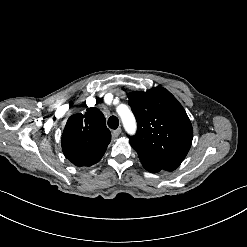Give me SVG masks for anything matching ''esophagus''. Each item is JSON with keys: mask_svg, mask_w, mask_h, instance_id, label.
<instances>
[{"mask_svg": "<svg viewBox=\"0 0 247 247\" xmlns=\"http://www.w3.org/2000/svg\"><path fill=\"white\" fill-rule=\"evenodd\" d=\"M121 131H122L121 128H117L116 130H113L112 138H117L120 135Z\"/></svg>", "mask_w": 247, "mask_h": 247, "instance_id": "esophagus-1", "label": "esophagus"}]
</instances>
